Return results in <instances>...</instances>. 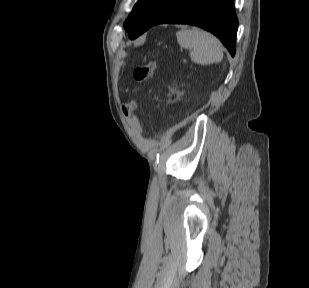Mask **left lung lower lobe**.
I'll use <instances>...</instances> for the list:
<instances>
[{
    "label": "left lung lower lobe",
    "mask_w": 309,
    "mask_h": 288,
    "mask_svg": "<svg viewBox=\"0 0 309 288\" xmlns=\"http://www.w3.org/2000/svg\"><path fill=\"white\" fill-rule=\"evenodd\" d=\"M163 23L199 26L216 35L230 54L235 55L238 19L233 0H161L130 38L135 39L150 27Z\"/></svg>",
    "instance_id": "0a47b994"
}]
</instances>
